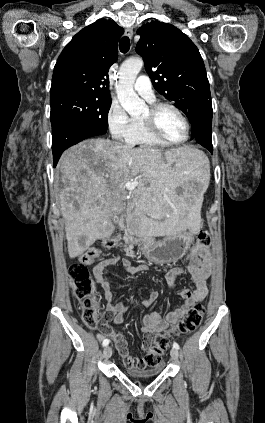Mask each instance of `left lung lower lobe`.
<instances>
[{"label":"left lung lower lobe","mask_w":265,"mask_h":423,"mask_svg":"<svg viewBox=\"0 0 265 423\" xmlns=\"http://www.w3.org/2000/svg\"><path fill=\"white\" fill-rule=\"evenodd\" d=\"M212 110L204 113L199 120L197 130L192 134V139L197 143L208 149L211 153L213 152L212 146Z\"/></svg>","instance_id":"0a47b994"}]
</instances>
